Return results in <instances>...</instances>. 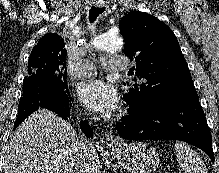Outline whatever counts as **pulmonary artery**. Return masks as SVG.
<instances>
[{"instance_id":"pulmonary-artery-1","label":"pulmonary artery","mask_w":219,"mask_h":173,"mask_svg":"<svg viewBox=\"0 0 219 173\" xmlns=\"http://www.w3.org/2000/svg\"><path fill=\"white\" fill-rule=\"evenodd\" d=\"M101 63L105 70L108 71H124L127 69L128 61L121 56H106L101 59ZM96 69L94 64L84 59L79 62L74 69V76L78 79L91 78L95 75Z\"/></svg>"}]
</instances>
